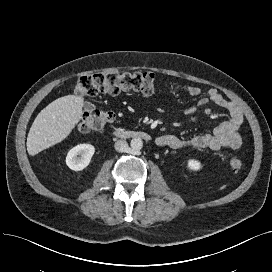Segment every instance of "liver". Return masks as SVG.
Instances as JSON below:
<instances>
[{"label":"liver","mask_w":272,"mask_h":272,"mask_svg":"<svg viewBox=\"0 0 272 272\" xmlns=\"http://www.w3.org/2000/svg\"><path fill=\"white\" fill-rule=\"evenodd\" d=\"M84 98L67 95L46 106L35 118L27 137L29 155L63 141L82 117Z\"/></svg>","instance_id":"1"}]
</instances>
